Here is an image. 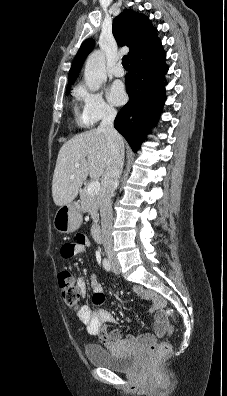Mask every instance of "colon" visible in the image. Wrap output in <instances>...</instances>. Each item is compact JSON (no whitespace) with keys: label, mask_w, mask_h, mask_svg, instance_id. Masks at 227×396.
<instances>
[{"label":"colon","mask_w":227,"mask_h":396,"mask_svg":"<svg viewBox=\"0 0 227 396\" xmlns=\"http://www.w3.org/2000/svg\"><path fill=\"white\" fill-rule=\"evenodd\" d=\"M58 284L64 303L69 308L79 311L81 309L80 292L73 274L66 269L62 270L58 275ZM167 313L169 315L172 314L170 310H167ZM170 350L171 345L168 342H162L157 346L151 347V365H157L162 357L169 353Z\"/></svg>","instance_id":"1"}]
</instances>
